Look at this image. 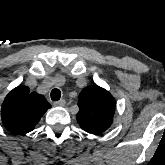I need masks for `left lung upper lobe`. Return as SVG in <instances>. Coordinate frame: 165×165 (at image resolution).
<instances>
[{"label":"left lung upper lobe","instance_id":"1","mask_svg":"<svg viewBox=\"0 0 165 165\" xmlns=\"http://www.w3.org/2000/svg\"><path fill=\"white\" fill-rule=\"evenodd\" d=\"M78 106L77 121L84 131L98 135L111 126L115 99L105 89L97 85L84 88Z\"/></svg>","mask_w":165,"mask_h":165}]
</instances>
